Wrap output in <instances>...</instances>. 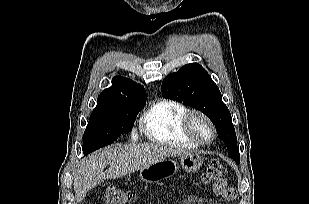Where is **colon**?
Returning <instances> with one entry per match:
<instances>
[{"label": "colon", "instance_id": "colon-1", "mask_svg": "<svg viewBox=\"0 0 309 204\" xmlns=\"http://www.w3.org/2000/svg\"><path fill=\"white\" fill-rule=\"evenodd\" d=\"M226 171L225 165L220 160L214 159L202 174L201 183L204 185L216 184L223 179ZM132 198L133 194L130 191L116 186H109L105 190L103 201L105 204H129Z\"/></svg>", "mask_w": 309, "mask_h": 204}]
</instances>
